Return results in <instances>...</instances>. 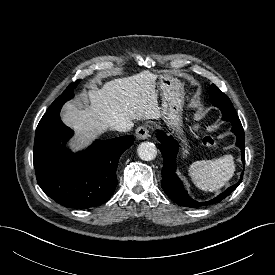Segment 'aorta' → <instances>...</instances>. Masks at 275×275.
Listing matches in <instances>:
<instances>
[{
	"label": "aorta",
	"mask_w": 275,
	"mask_h": 275,
	"mask_svg": "<svg viewBox=\"0 0 275 275\" xmlns=\"http://www.w3.org/2000/svg\"><path fill=\"white\" fill-rule=\"evenodd\" d=\"M137 153L141 160L151 161L157 155V148L152 142H142L137 148Z\"/></svg>",
	"instance_id": "aorta-1"
}]
</instances>
